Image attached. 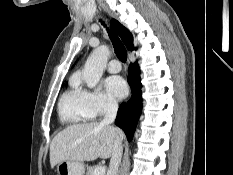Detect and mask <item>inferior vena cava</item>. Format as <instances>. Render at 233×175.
<instances>
[{
    "label": "inferior vena cava",
    "mask_w": 233,
    "mask_h": 175,
    "mask_svg": "<svg viewBox=\"0 0 233 175\" xmlns=\"http://www.w3.org/2000/svg\"><path fill=\"white\" fill-rule=\"evenodd\" d=\"M117 110V102L114 99H108L106 103V113L101 123L105 125L112 124L116 118ZM122 151V144L120 142H116L113 148L107 175H118V168L122 158Z\"/></svg>",
    "instance_id": "1"
}]
</instances>
